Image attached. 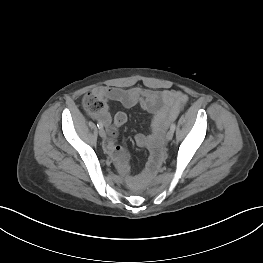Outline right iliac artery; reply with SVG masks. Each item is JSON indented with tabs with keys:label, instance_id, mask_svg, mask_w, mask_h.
<instances>
[{
	"label": "right iliac artery",
	"instance_id": "right-iliac-artery-1",
	"mask_svg": "<svg viewBox=\"0 0 263 263\" xmlns=\"http://www.w3.org/2000/svg\"><path fill=\"white\" fill-rule=\"evenodd\" d=\"M97 126H98L99 129H102V128H103L102 122H98V123H97Z\"/></svg>",
	"mask_w": 263,
	"mask_h": 263
}]
</instances>
